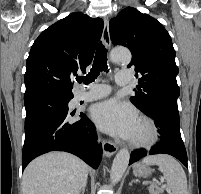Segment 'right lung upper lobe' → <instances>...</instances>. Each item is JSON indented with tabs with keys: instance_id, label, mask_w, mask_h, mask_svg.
Instances as JSON below:
<instances>
[{
	"instance_id": "cb5924a9",
	"label": "right lung upper lobe",
	"mask_w": 201,
	"mask_h": 194,
	"mask_svg": "<svg viewBox=\"0 0 201 194\" xmlns=\"http://www.w3.org/2000/svg\"><path fill=\"white\" fill-rule=\"evenodd\" d=\"M104 23L71 13L44 30L31 47L26 64L25 94L72 93V79L91 63Z\"/></svg>"
}]
</instances>
